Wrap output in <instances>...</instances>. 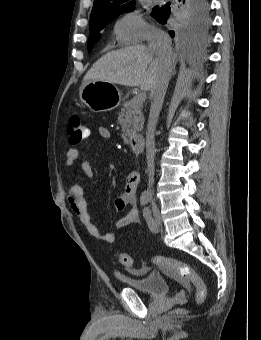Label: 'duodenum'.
<instances>
[{"mask_svg":"<svg viewBox=\"0 0 261 340\" xmlns=\"http://www.w3.org/2000/svg\"><path fill=\"white\" fill-rule=\"evenodd\" d=\"M144 138L141 135L133 136L130 138L129 147L133 154L141 155L144 151Z\"/></svg>","mask_w":261,"mask_h":340,"instance_id":"1","label":"duodenum"}]
</instances>
